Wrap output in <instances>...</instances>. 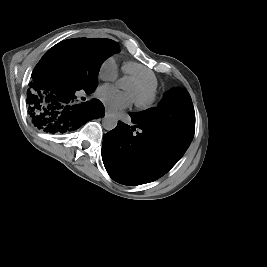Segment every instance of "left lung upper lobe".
<instances>
[{
    "label": "left lung upper lobe",
    "instance_id": "obj_1",
    "mask_svg": "<svg viewBox=\"0 0 267 267\" xmlns=\"http://www.w3.org/2000/svg\"><path fill=\"white\" fill-rule=\"evenodd\" d=\"M131 118L146 126L174 131L192 140L195 131V112L187 90L180 87L166 92L158 107L131 113Z\"/></svg>",
    "mask_w": 267,
    "mask_h": 267
}]
</instances>
